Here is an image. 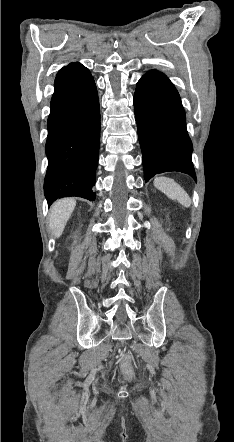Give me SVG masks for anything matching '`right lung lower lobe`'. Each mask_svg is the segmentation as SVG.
Instances as JSON below:
<instances>
[{"label": "right lung lower lobe", "instance_id": "1", "mask_svg": "<svg viewBox=\"0 0 234 442\" xmlns=\"http://www.w3.org/2000/svg\"><path fill=\"white\" fill-rule=\"evenodd\" d=\"M47 128L44 193L48 205L67 196L93 201L100 109L94 79L83 65L66 66L58 72Z\"/></svg>", "mask_w": 234, "mask_h": 442}]
</instances>
